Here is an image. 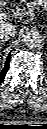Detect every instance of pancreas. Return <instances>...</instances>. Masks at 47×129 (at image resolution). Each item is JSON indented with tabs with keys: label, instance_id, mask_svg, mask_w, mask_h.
<instances>
[{
	"label": "pancreas",
	"instance_id": "cf45deb5",
	"mask_svg": "<svg viewBox=\"0 0 47 129\" xmlns=\"http://www.w3.org/2000/svg\"><path fill=\"white\" fill-rule=\"evenodd\" d=\"M23 1H26V0H23ZM32 4H37V5L46 7L47 0H35Z\"/></svg>",
	"mask_w": 47,
	"mask_h": 129
}]
</instances>
